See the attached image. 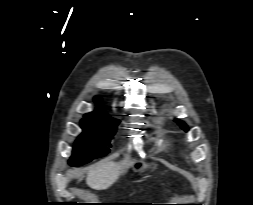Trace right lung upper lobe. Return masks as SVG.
Masks as SVG:
<instances>
[{
    "label": "right lung upper lobe",
    "instance_id": "cb5924a9",
    "mask_svg": "<svg viewBox=\"0 0 253 205\" xmlns=\"http://www.w3.org/2000/svg\"><path fill=\"white\" fill-rule=\"evenodd\" d=\"M95 102H99L100 99L98 97H96ZM85 116L87 117H93V118H99V119H105V118H109V116L101 111H95V112H91L86 114Z\"/></svg>",
    "mask_w": 253,
    "mask_h": 205
}]
</instances>
